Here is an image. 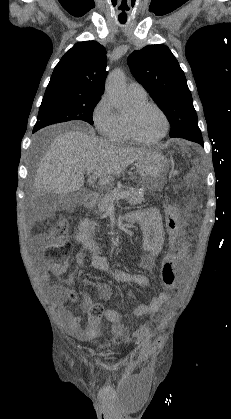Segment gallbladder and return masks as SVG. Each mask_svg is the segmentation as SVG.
<instances>
[{"label":"gallbladder","instance_id":"1","mask_svg":"<svg viewBox=\"0 0 231 419\" xmlns=\"http://www.w3.org/2000/svg\"><path fill=\"white\" fill-rule=\"evenodd\" d=\"M68 197V195L62 196L51 191L42 194L41 200L38 202V205L45 208L47 210V213L50 214L54 211V208L62 205L63 201H65Z\"/></svg>","mask_w":231,"mask_h":419}]
</instances>
